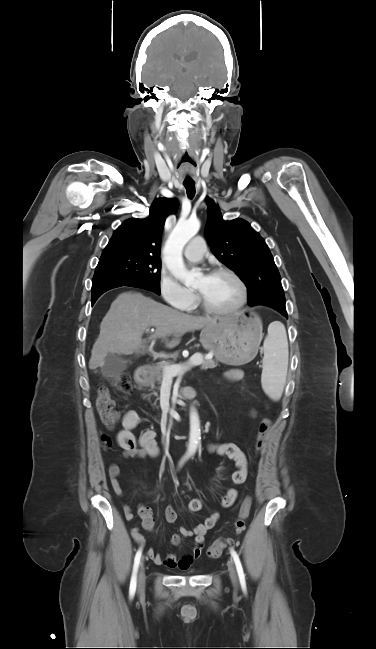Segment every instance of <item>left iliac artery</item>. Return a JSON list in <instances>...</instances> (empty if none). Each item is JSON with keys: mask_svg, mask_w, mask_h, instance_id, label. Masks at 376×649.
Listing matches in <instances>:
<instances>
[{"mask_svg": "<svg viewBox=\"0 0 376 649\" xmlns=\"http://www.w3.org/2000/svg\"><path fill=\"white\" fill-rule=\"evenodd\" d=\"M230 551H231V555H232L233 560H234L235 565H236V569H237V573H238V576H239L241 587L245 590L246 589V581H245V575H244V571H243V567H242L240 558H239L238 554L236 553V551L233 548H231Z\"/></svg>", "mask_w": 376, "mask_h": 649, "instance_id": "left-iliac-artery-1", "label": "left iliac artery"}]
</instances>
